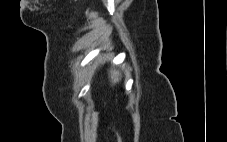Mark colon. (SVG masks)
Returning a JSON list of instances; mask_svg holds the SVG:
<instances>
[{
	"instance_id": "5ec220e1",
	"label": "colon",
	"mask_w": 227,
	"mask_h": 142,
	"mask_svg": "<svg viewBox=\"0 0 227 142\" xmlns=\"http://www.w3.org/2000/svg\"><path fill=\"white\" fill-rule=\"evenodd\" d=\"M118 142H122V137L120 135L118 136Z\"/></svg>"
}]
</instances>
